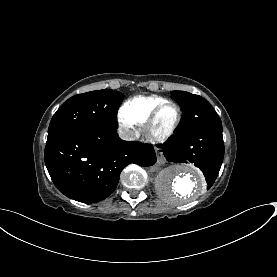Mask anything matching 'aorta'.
Wrapping results in <instances>:
<instances>
[{"mask_svg": "<svg viewBox=\"0 0 277 277\" xmlns=\"http://www.w3.org/2000/svg\"><path fill=\"white\" fill-rule=\"evenodd\" d=\"M202 174L185 164H172L157 176L156 188L160 196L171 204L197 199L205 191Z\"/></svg>", "mask_w": 277, "mask_h": 277, "instance_id": "aorta-1", "label": "aorta"}]
</instances>
